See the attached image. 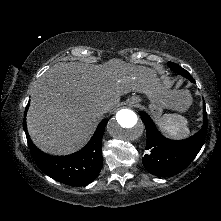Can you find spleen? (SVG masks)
I'll return each instance as SVG.
<instances>
[{
  "instance_id": "obj_1",
  "label": "spleen",
  "mask_w": 221,
  "mask_h": 221,
  "mask_svg": "<svg viewBox=\"0 0 221 221\" xmlns=\"http://www.w3.org/2000/svg\"><path fill=\"white\" fill-rule=\"evenodd\" d=\"M158 126L162 132L169 137L185 138L190 133L187 120L178 114L164 115L158 121Z\"/></svg>"
}]
</instances>
